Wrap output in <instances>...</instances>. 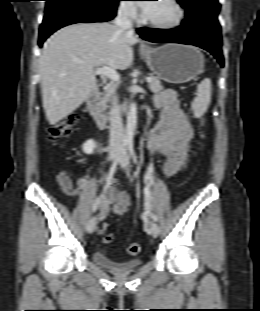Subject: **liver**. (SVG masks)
<instances>
[{"label": "liver", "mask_w": 260, "mask_h": 311, "mask_svg": "<svg viewBox=\"0 0 260 311\" xmlns=\"http://www.w3.org/2000/svg\"><path fill=\"white\" fill-rule=\"evenodd\" d=\"M137 42L133 33L110 23H76L54 33L39 59L43 108L49 123H58L86 101L96 86L95 67L127 69Z\"/></svg>", "instance_id": "6515ba94"}]
</instances>
